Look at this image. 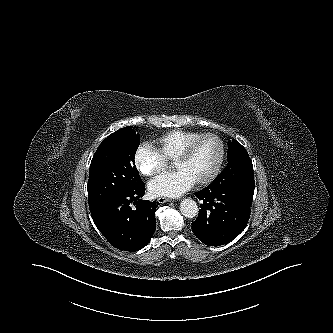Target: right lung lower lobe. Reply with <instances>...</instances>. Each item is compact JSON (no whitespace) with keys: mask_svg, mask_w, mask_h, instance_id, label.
Segmentation results:
<instances>
[{"mask_svg":"<svg viewBox=\"0 0 333 333\" xmlns=\"http://www.w3.org/2000/svg\"><path fill=\"white\" fill-rule=\"evenodd\" d=\"M144 193L142 182L130 191L89 204L96 227L119 250L135 252L142 249L155 231L154 211L159 203L141 200Z\"/></svg>","mask_w":333,"mask_h":333,"instance_id":"98d812e1","label":"right lung lower lobe"}]
</instances>
